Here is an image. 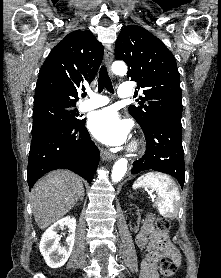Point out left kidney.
I'll return each instance as SVG.
<instances>
[{
    "label": "left kidney",
    "instance_id": "left-kidney-1",
    "mask_svg": "<svg viewBox=\"0 0 221 278\" xmlns=\"http://www.w3.org/2000/svg\"><path fill=\"white\" fill-rule=\"evenodd\" d=\"M138 216H140V215H139V210H138ZM138 219H140V217H139Z\"/></svg>",
    "mask_w": 221,
    "mask_h": 278
}]
</instances>
